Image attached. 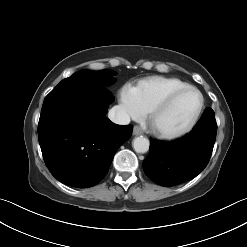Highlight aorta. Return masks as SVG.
<instances>
[{"mask_svg": "<svg viewBox=\"0 0 247 247\" xmlns=\"http://www.w3.org/2000/svg\"><path fill=\"white\" fill-rule=\"evenodd\" d=\"M133 148L137 153H146L149 150V140L143 136L133 140Z\"/></svg>", "mask_w": 247, "mask_h": 247, "instance_id": "aorta-1", "label": "aorta"}]
</instances>
